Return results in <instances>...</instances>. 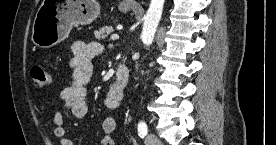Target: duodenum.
<instances>
[{"label": "duodenum", "instance_id": "410a0bca", "mask_svg": "<svg viewBox=\"0 0 276 145\" xmlns=\"http://www.w3.org/2000/svg\"><path fill=\"white\" fill-rule=\"evenodd\" d=\"M129 77L130 73L128 67L123 63L118 64L114 86L119 93H124L129 82Z\"/></svg>", "mask_w": 276, "mask_h": 145}]
</instances>
